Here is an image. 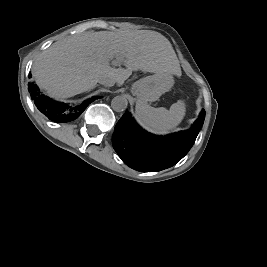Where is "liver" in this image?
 Returning <instances> with one entry per match:
<instances>
[{
	"label": "liver",
	"mask_w": 267,
	"mask_h": 267,
	"mask_svg": "<svg viewBox=\"0 0 267 267\" xmlns=\"http://www.w3.org/2000/svg\"><path fill=\"white\" fill-rule=\"evenodd\" d=\"M124 68H113L110 60ZM179 75L177 55L162 34L151 30L99 31L69 36L36 58L32 74L50 96L65 99L91 90L102 77L124 84L132 71Z\"/></svg>",
	"instance_id": "liver-1"
}]
</instances>
